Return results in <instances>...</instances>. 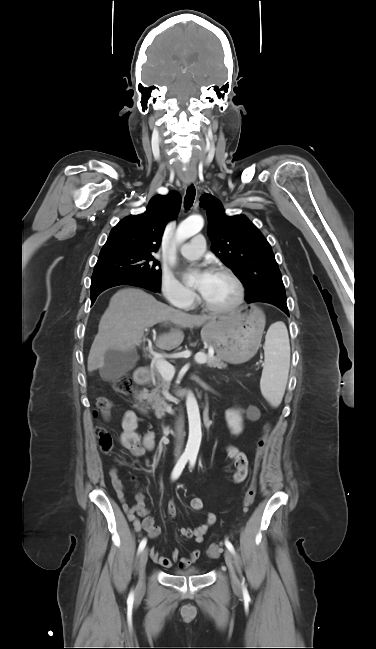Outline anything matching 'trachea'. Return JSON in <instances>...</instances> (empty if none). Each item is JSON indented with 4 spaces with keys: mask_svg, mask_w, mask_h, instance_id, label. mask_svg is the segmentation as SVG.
Here are the masks:
<instances>
[{
    "mask_svg": "<svg viewBox=\"0 0 376 649\" xmlns=\"http://www.w3.org/2000/svg\"><path fill=\"white\" fill-rule=\"evenodd\" d=\"M195 194H196L195 187L193 185H190L187 188L186 195H185V205L187 208L191 207V205L193 204L195 199Z\"/></svg>",
    "mask_w": 376,
    "mask_h": 649,
    "instance_id": "3493384b",
    "label": "trachea"
}]
</instances>
